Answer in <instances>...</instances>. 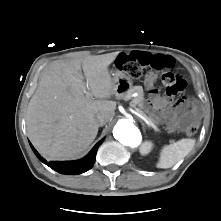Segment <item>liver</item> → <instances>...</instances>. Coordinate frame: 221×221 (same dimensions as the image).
Here are the masks:
<instances>
[{"label": "liver", "mask_w": 221, "mask_h": 221, "mask_svg": "<svg viewBox=\"0 0 221 221\" xmlns=\"http://www.w3.org/2000/svg\"><path fill=\"white\" fill-rule=\"evenodd\" d=\"M118 53L54 61L45 68L26 116L29 138L43 156L75 158L96 138V116L112 120L116 102L107 99L116 88L108 66Z\"/></svg>", "instance_id": "6515ba94"}]
</instances>
